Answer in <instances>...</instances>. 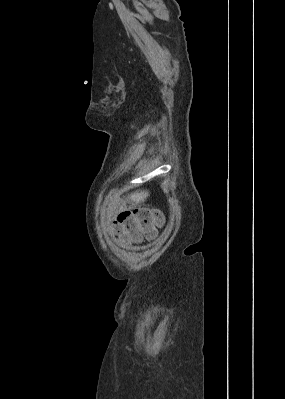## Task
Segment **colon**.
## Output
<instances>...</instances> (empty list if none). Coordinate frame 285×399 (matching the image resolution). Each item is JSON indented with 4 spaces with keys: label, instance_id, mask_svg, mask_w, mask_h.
<instances>
[{
    "label": "colon",
    "instance_id": "obj_1",
    "mask_svg": "<svg viewBox=\"0 0 285 399\" xmlns=\"http://www.w3.org/2000/svg\"><path fill=\"white\" fill-rule=\"evenodd\" d=\"M163 214L158 210L135 209L116 216L112 230L123 243H137L164 226Z\"/></svg>",
    "mask_w": 285,
    "mask_h": 399
}]
</instances>
